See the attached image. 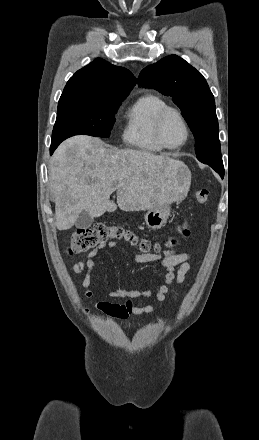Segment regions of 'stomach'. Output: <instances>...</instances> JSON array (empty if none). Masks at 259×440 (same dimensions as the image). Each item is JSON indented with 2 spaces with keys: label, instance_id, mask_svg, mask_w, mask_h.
Here are the masks:
<instances>
[{
  "label": "stomach",
  "instance_id": "1",
  "mask_svg": "<svg viewBox=\"0 0 259 440\" xmlns=\"http://www.w3.org/2000/svg\"><path fill=\"white\" fill-rule=\"evenodd\" d=\"M189 185V180H183V186L186 188ZM171 215V208L169 204L161 207H155L150 209L144 215L146 225L151 229H160L167 223L169 216Z\"/></svg>",
  "mask_w": 259,
  "mask_h": 440
}]
</instances>
